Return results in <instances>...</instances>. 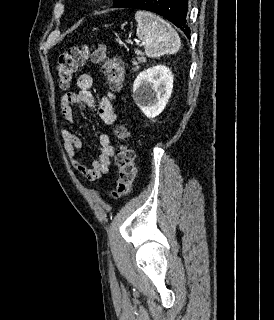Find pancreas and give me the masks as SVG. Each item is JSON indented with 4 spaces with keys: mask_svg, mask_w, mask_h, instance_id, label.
Segmentation results:
<instances>
[{
    "mask_svg": "<svg viewBox=\"0 0 274 320\" xmlns=\"http://www.w3.org/2000/svg\"><path fill=\"white\" fill-rule=\"evenodd\" d=\"M135 54H137V56H139V58H137V62H136V60H132L133 66H136V68H133V72H136V70H138V68H139L138 64H141V62H146V58H144L143 52H139V50H137V52H135Z\"/></svg>",
    "mask_w": 274,
    "mask_h": 320,
    "instance_id": "obj_1",
    "label": "pancreas"
}]
</instances>
